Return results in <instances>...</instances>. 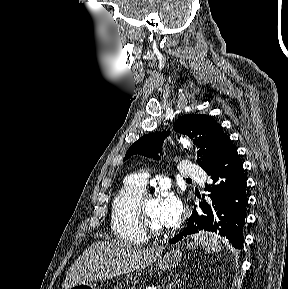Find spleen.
I'll return each mask as SVG.
<instances>
[{"label":"spleen","instance_id":"3e777b00","mask_svg":"<svg viewBox=\"0 0 288 289\" xmlns=\"http://www.w3.org/2000/svg\"><path fill=\"white\" fill-rule=\"evenodd\" d=\"M195 239L205 246L208 253H210V251L216 252L221 248L220 237L218 234L201 231L195 236Z\"/></svg>","mask_w":288,"mask_h":289}]
</instances>
